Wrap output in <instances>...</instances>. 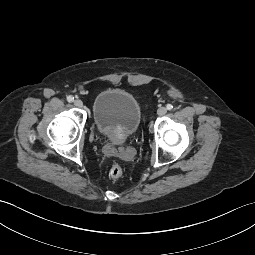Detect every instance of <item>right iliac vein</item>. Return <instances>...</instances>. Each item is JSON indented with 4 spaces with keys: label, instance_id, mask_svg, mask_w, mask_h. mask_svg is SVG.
<instances>
[{
    "label": "right iliac vein",
    "instance_id": "right-iliac-vein-1",
    "mask_svg": "<svg viewBox=\"0 0 255 255\" xmlns=\"http://www.w3.org/2000/svg\"><path fill=\"white\" fill-rule=\"evenodd\" d=\"M74 105H75L76 107H78V108H81V107H83V102H82L80 99H76V100L74 101Z\"/></svg>",
    "mask_w": 255,
    "mask_h": 255
}]
</instances>
